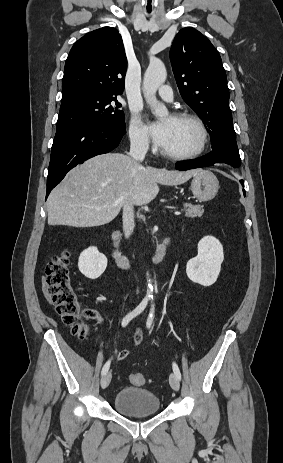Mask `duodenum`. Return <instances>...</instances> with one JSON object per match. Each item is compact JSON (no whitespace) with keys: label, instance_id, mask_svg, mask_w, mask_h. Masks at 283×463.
I'll return each mask as SVG.
<instances>
[{"label":"duodenum","instance_id":"obj_1","mask_svg":"<svg viewBox=\"0 0 283 463\" xmlns=\"http://www.w3.org/2000/svg\"><path fill=\"white\" fill-rule=\"evenodd\" d=\"M112 252L111 256L112 259L116 262V264L120 267H129L131 265V258L127 255H124L120 251V234L119 232L115 231L112 234ZM171 243V239L166 237L156 248L152 255V262L157 264L163 261L165 258L167 249L169 248Z\"/></svg>","mask_w":283,"mask_h":463}]
</instances>
